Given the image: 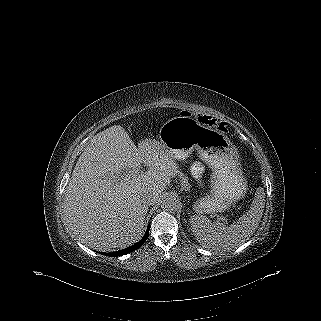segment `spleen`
<instances>
[{"instance_id": "spleen-1", "label": "spleen", "mask_w": 321, "mask_h": 321, "mask_svg": "<svg viewBox=\"0 0 321 321\" xmlns=\"http://www.w3.org/2000/svg\"><path fill=\"white\" fill-rule=\"evenodd\" d=\"M265 207V193L259 189L250 210L236 222L226 226L211 222L205 216H192L190 224L197 241L213 251L232 249L252 236L261 221Z\"/></svg>"}]
</instances>
